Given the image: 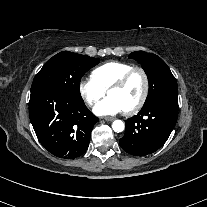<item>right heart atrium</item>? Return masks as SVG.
<instances>
[{
  "label": "right heart atrium",
  "mask_w": 207,
  "mask_h": 207,
  "mask_svg": "<svg viewBox=\"0 0 207 207\" xmlns=\"http://www.w3.org/2000/svg\"><path fill=\"white\" fill-rule=\"evenodd\" d=\"M106 90L101 87L93 77L82 79L79 82V93L83 100L89 105H94L105 94Z\"/></svg>",
  "instance_id": "1"
}]
</instances>
